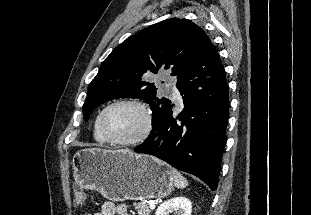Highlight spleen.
<instances>
[{
	"label": "spleen",
	"instance_id": "1",
	"mask_svg": "<svg viewBox=\"0 0 311 215\" xmlns=\"http://www.w3.org/2000/svg\"><path fill=\"white\" fill-rule=\"evenodd\" d=\"M171 175H172L175 187L179 189H183L186 186H188V181L178 170L171 168Z\"/></svg>",
	"mask_w": 311,
	"mask_h": 215
}]
</instances>
